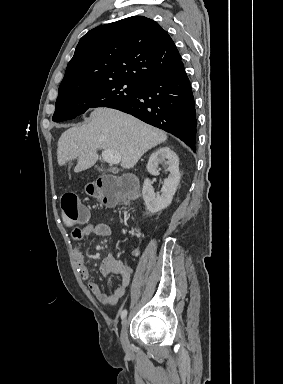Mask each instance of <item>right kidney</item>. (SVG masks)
<instances>
[{
    "mask_svg": "<svg viewBox=\"0 0 283 384\" xmlns=\"http://www.w3.org/2000/svg\"><path fill=\"white\" fill-rule=\"evenodd\" d=\"M159 164H163L164 168L170 172L168 178L164 180L161 194H154L149 178H146L142 188L143 200L151 214H156L170 206L181 178L178 156L170 148H159L151 154L147 164L149 174L159 176Z\"/></svg>",
    "mask_w": 283,
    "mask_h": 384,
    "instance_id": "right-kidney-1",
    "label": "right kidney"
}]
</instances>
